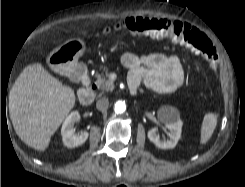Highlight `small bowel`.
I'll use <instances>...</instances> for the list:
<instances>
[{"label":"small bowel","instance_id":"small-bowel-1","mask_svg":"<svg viewBox=\"0 0 245 187\" xmlns=\"http://www.w3.org/2000/svg\"><path fill=\"white\" fill-rule=\"evenodd\" d=\"M121 62L129 70L128 81L132 92L140 84L158 93H169L179 88L184 72L179 58L160 53L138 56L125 53Z\"/></svg>","mask_w":245,"mask_h":187}]
</instances>
